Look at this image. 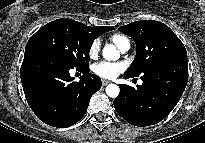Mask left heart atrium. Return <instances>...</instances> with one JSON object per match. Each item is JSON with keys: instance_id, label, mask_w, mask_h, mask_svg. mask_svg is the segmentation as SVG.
Wrapping results in <instances>:
<instances>
[{"instance_id": "obj_1", "label": "left heart atrium", "mask_w": 205, "mask_h": 143, "mask_svg": "<svg viewBox=\"0 0 205 143\" xmlns=\"http://www.w3.org/2000/svg\"><path fill=\"white\" fill-rule=\"evenodd\" d=\"M123 70H124V64L120 62L101 61L94 64L93 66L94 73L106 79L115 78Z\"/></svg>"}]
</instances>
